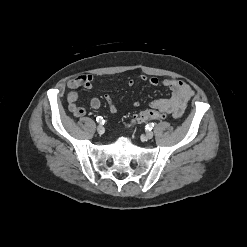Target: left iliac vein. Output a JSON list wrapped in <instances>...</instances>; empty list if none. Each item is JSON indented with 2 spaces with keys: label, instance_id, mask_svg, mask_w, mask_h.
<instances>
[{
  "label": "left iliac vein",
  "instance_id": "left-iliac-vein-1",
  "mask_svg": "<svg viewBox=\"0 0 247 247\" xmlns=\"http://www.w3.org/2000/svg\"><path fill=\"white\" fill-rule=\"evenodd\" d=\"M153 136H154V133H153L152 131H149V132H147V133L144 135V138L148 140V139H152Z\"/></svg>",
  "mask_w": 247,
  "mask_h": 247
}]
</instances>
